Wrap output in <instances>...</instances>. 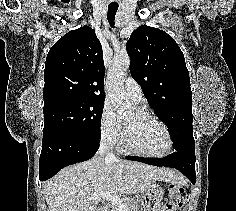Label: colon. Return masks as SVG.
I'll return each instance as SVG.
<instances>
[{"label":"colon","instance_id":"5ec220e1","mask_svg":"<svg viewBox=\"0 0 236 211\" xmlns=\"http://www.w3.org/2000/svg\"><path fill=\"white\" fill-rule=\"evenodd\" d=\"M185 189L180 185L169 186V200L162 211H175L185 201Z\"/></svg>","mask_w":236,"mask_h":211}]
</instances>
